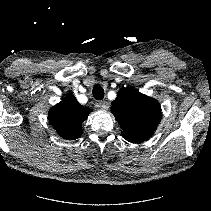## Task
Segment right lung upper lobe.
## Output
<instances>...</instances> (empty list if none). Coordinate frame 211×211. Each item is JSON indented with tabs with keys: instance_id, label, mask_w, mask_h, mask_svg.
<instances>
[{
	"instance_id": "1",
	"label": "right lung upper lobe",
	"mask_w": 211,
	"mask_h": 211,
	"mask_svg": "<svg viewBox=\"0 0 211 211\" xmlns=\"http://www.w3.org/2000/svg\"><path fill=\"white\" fill-rule=\"evenodd\" d=\"M91 110L83 107L73 95H68L49 110V122L57 133L67 140H74L82 134V123Z\"/></svg>"
}]
</instances>
